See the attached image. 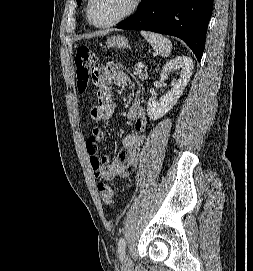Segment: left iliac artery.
Listing matches in <instances>:
<instances>
[{
	"label": "left iliac artery",
	"mask_w": 253,
	"mask_h": 271,
	"mask_svg": "<svg viewBox=\"0 0 253 271\" xmlns=\"http://www.w3.org/2000/svg\"><path fill=\"white\" fill-rule=\"evenodd\" d=\"M125 246L126 244H125L124 238H120L118 242V253H119L120 258L122 259L125 256Z\"/></svg>",
	"instance_id": "44dca946"
}]
</instances>
